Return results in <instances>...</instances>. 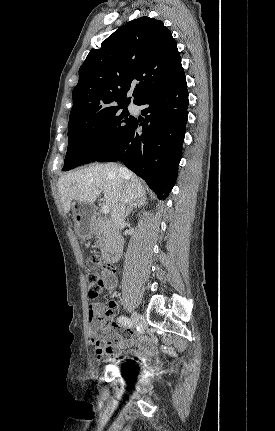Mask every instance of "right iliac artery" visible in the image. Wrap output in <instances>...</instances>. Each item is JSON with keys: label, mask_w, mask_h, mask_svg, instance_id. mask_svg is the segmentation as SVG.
Segmentation results:
<instances>
[{"label": "right iliac artery", "mask_w": 275, "mask_h": 431, "mask_svg": "<svg viewBox=\"0 0 275 431\" xmlns=\"http://www.w3.org/2000/svg\"><path fill=\"white\" fill-rule=\"evenodd\" d=\"M118 320H119V322H121L125 326H129L130 327L132 325L131 319L128 318V317L120 316L118 318Z\"/></svg>", "instance_id": "82829eb1"}]
</instances>
